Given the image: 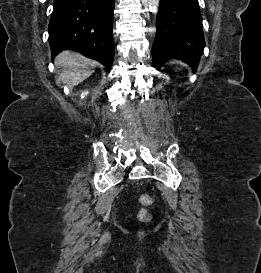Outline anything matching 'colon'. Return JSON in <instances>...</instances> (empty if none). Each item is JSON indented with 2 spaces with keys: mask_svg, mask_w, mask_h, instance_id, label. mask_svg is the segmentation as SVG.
Returning <instances> with one entry per match:
<instances>
[{
  "mask_svg": "<svg viewBox=\"0 0 261 273\" xmlns=\"http://www.w3.org/2000/svg\"><path fill=\"white\" fill-rule=\"evenodd\" d=\"M152 203H153V198H152L151 195L143 194V195L140 196V204L142 206H144V207L149 206ZM138 217H139L140 220L147 221V220L150 219V214L145 208H142L138 212Z\"/></svg>",
  "mask_w": 261,
  "mask_h": 273,
  "instance_id": "5ec220e1",
  "label": "colon"
}]
</instances>
